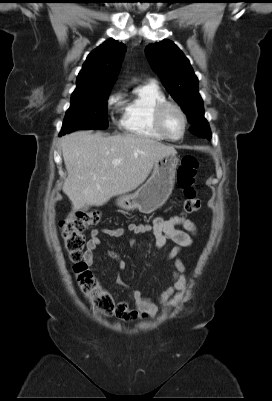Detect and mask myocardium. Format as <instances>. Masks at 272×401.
<instances>
[{
	"instance_id": "myocardium-1",
	"label": "myocardium",
	"mask_w": 272,
	"mask_h": 401,
	"mask_svg": "<svg viewBox=\"0 0 272 401\" xmlns=\"http://www.w3.org/2000/svg\"><path fill=\"white\" fill-rule=\"evenodd\" d=\"M169 109L176 110L182 118L183 129H182V133L179 137H172L166 130V127L164 124V117H165L166 112ZM154 122H155V125H156V128L158 129V131L165 137V139H168L170 141H179V140L183 139L186 134L187 126H188L187 115H186L185 111L183 110V108L179 104H177L175 102H171V101H165L156 108L155 114H154Z\"/></svg>"
}]
</instances>
